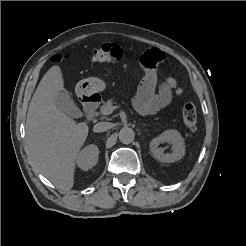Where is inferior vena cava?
I'll return each instance as SVG.
<instances>
[{
    "instance_id": "inferior-vena-cava-1",
    "label": "inferior vena cava",
    "mask_w": 246,
    "mask_h": 246,
    "mask_svg": "<svg viewBox=\"0 0 246 246\" xmlns=\"http://www.w3.org/2000/svg\"><path fill=\"white\" fill-rule=\"evenodd\" d=\"M111 127H112V124L109 122H99L94 125L93 131L96 133L104 132V131L111 129Z\"/></svg>"
}]
</instances>
